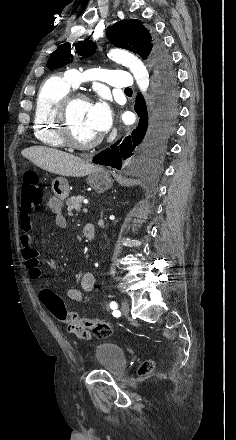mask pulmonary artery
Wrapping results in <instances>:
<instances>
[{"label": "pulmonary artery", "mask_w": 236, "mask_h": 440, "mask_svg": "<svg viewBox=\"0 0 236 440\" xmlns=\"http://www.w3.org/2000/svg\"><path fill=\"white\" fill-rule=\"evenodd\" d=\"M96 74H99L103 81L113 88L126 90L129 88L131 89L134 85V81L128 72L117 69H103L86 72L71 69L67 72L66 77L73 87H77L84 78L95 76Z\"/></svg>", "instance_id": "1"}]
</instances>
